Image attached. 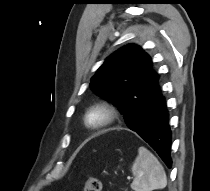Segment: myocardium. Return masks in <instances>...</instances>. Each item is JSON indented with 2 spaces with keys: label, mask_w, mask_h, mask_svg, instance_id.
Here are the masks:
<instances>
[{
  "label": "myocardium",
  "mask_w": 210,
  "mask_h": 191,
  "mask_svg": "<svg viewBox=\"0 0 210 191\" xmlns=\"http://www.w3.org/2000/svg\"><path fill=\"white\" fill-rule=\"evenodd\" d=\"M95 112H101L103 119L98 124H91L89 118ZM119 117L120 111L116 105L109 101H98L85 110L82 122L86 130L96 132L112 126L118 121Z\"/></svg>",
  "instance_id": "obj_1"
}]
</instances>
